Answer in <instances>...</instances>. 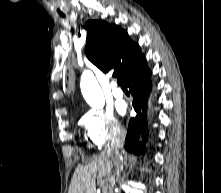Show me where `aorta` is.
Wrapping results in <instances>:
<instances>
[{"mask_svg": "<svg viewBox=\"0 0 221 193\" xmlns=\"http://www.w3.org/2000/svg\"><path fill=\"white\" fill-rule=\"evenodd\" d=\"M80 88L86 102L94 109H102L105 105L103 92L94 75L85 71L81 76Z\"/></svg>", "mask_w": 221, "mask_h": 193, "instance_id": "1", "label": "aorta"}]
</instances>
